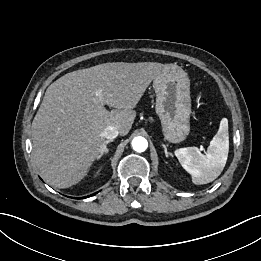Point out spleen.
<instances>
[{"mask_svg": "<svg viewBox=\"0 0 261 261\" xmlns=\"http://www.w3.org/2000/svg\"><path fill=\"white\" fill-rule=\"evenodd\" d=\"M228 152V120L223 118L206 154H202L197 147L180 148L174 153L182 167L192 176L193 183L201 185L214 181L221 174Z\"/></svg>", "mask_w": 261, "mask_h": 261, "instance_id": "obj_1", "label": "spleen"}]
</instances>
